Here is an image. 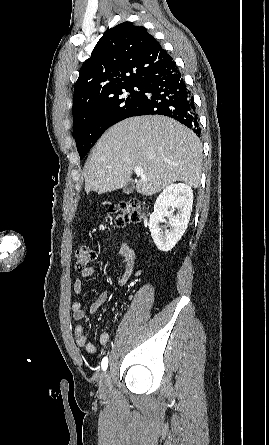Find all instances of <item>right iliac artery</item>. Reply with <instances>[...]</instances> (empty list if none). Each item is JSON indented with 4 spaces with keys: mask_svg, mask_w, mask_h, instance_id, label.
<instances>
[{
    "mask_svg": "<svg viewBox=\"0 0 269 445\" xmlns=\"http://www.w3.org/2000/svg\"><path fill=\"white\" fill-rule=\"evenodd\" d=\"M101 367H102V370H103V371H105V370L107 369V367H108V358H107V357H104V358L102 359Z\"/></svg>",
    "mask_w": 269,
    "mask_h": 445,
    "instance_id": "obj_1",
    "label": "right iliac artery"
}]
</instances>
